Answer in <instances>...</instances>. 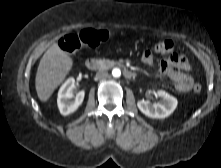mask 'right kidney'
Instances as JSON below:
<instances>
[{"label": "right kidney", "instance_id": "obj_1", "mask_svg": "<svg viewBox=\"0 0 221 168\" xmlns=\"http://www.w3.org/2000/svg\"><path fill=\"white\" fill-rule=\"evenodd\" d=\"M74 89L75 80L72 77L67 79L59 89L57 104L59 111L63 116H67L75 112L84 100L85 91L81 90L74 96ZM73 97L74 99L72 100L71 98Z\"/></svg>", "mask_w": 221, "mask_h": 168}]
</instances>
